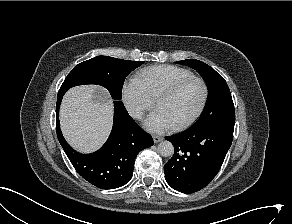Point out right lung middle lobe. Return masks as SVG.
<instances>
[{"mask_svg": "<svg viewBox=\"0 0 292 224\" xmlns=\"http://www.w3.org/2000/svg\"><path fill=\"white\" fill-rule=\"evenodd\" d=\"M144 61H129L108 56H97L84 61L68 74L60 90L83 84L105 87L114 100L120 101L125 78Z\"/></svg>", "mask_w": 292, "mask_h": 224, "instance_id": "obj_1", "label": "right lung middle lobe"}]
</instances>
